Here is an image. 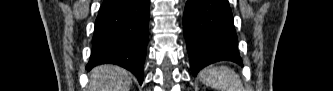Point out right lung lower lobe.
<instances>
[{
	"label": "right lung lower lobe",
	"mask_w": 333,
	"mask_h": 91,
	"mask_svg": "<svg viewBox=\"0 0 333 91\" xmlns=\"http://www.w3.org/2000/svg\"><path fill=\"white\" fill-rule=\"evenodd\" d=\"M149 4L150 0H104L95 22L87 70L116 64L131 71L142 84Z\"/></svg>",
	"instance_id": "obj_1"
}]
</instances>
